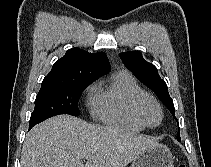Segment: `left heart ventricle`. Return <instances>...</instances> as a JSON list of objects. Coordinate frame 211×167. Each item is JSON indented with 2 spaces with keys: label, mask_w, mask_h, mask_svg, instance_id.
<instances>
[{
  "label": "left heart ventricle",
  "mask_w": 211,
  "mask_h": 167,
  "mask_svg": "<svg viewBox=\"0 0 211 167\" xmlns=\"http://www.w3.org/2000/svg\"><path fill=\"white\" fill-rule=\"evenodd\" d=\"M142 113L145 120L150 124H156L160 120V112L157 106L151 101H145L143 103Z\"/></svg>",
  "instance_id": "b2bd125f"
}]
</instances>
